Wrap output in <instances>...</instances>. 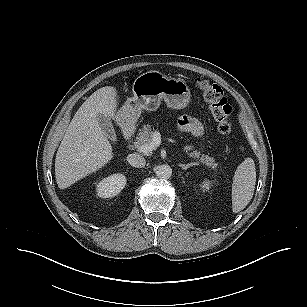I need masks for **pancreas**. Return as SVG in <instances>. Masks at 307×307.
Here are the masks:
<instances>
[{"instance_id":"cf45deb5","label":"pancreas","mask_w":307,"mask_h":307,"mask_svg":"<svg viewBox=\"0 0 307 307\" xmlns=\"http://www.w3.org/2000/svg\"><path fill=\"white\" fill-rule=\"evenodd\" d=\"M153 132H154V128H152L151 125L149 124L144 125L143 128L139 130L137 141L135 142V146L139 147L145 144H149L151 142ZM192 150H193L192 146L186 145L184 147V151L189 155V157L201 161L202 163H204L206 166H208L209 168L213 170H217L218 163L214 162L215 161L214 158H211L208 155L201 154L197 150L195 151H192Z\"/></svg>"}]
</instances>
